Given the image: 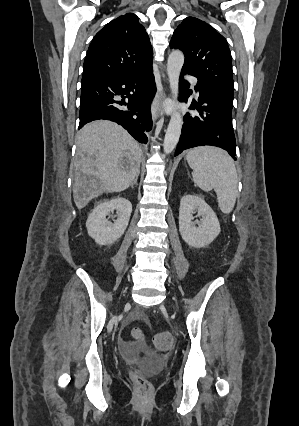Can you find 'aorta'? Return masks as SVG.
Instances as JSON below:
<instances>
[{"label": "aorta", "instance_id": "762f6f07", "mask_svg": "<svg viewBox=\"0 0 299 426\" xmlns=\"http://www.w3.org/2000/svg\"><path fill=\"white\" fill-rule=\"evenodd\" d=\"M183 64H184L183 53L180 50H173L168 57L167 74H168L171 93L175 100H177L178 98L179 76H180V72H181ZM182 125H183V118L180 112L175 111L170 118V122L168 124L165 138H164L163 149L166 154L171 153L175 149L181 135Z\"/></svg>", "mask_w": 299, "mask_h": 426}]
</instances>
